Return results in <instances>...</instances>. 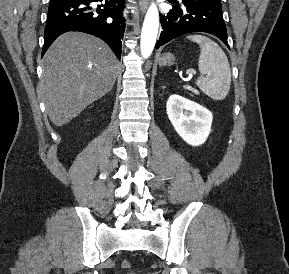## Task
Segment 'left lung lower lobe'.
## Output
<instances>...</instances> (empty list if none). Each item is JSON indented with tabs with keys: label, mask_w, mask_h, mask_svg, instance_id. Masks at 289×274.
I'll use <instances>...</instances> for the list:
<instances>
[{
	"label": "left lung lower lobe",
	"mask_w": 289,
	"mask_h": 274,
	"mask_svg": "<svg viewBox=\"0 0 289 274\" xmlns=\"http://www.w3.org/2000/svg\"><path fill=\"white\" fill-rule=\"evenodd\" d=\"M173 8L160 14L162 32L156 49L170 40L191 32H207L229 48L220 0H168Z\"/></svg>",
	"instance_id": "0a47b994"
}]
</instances>
